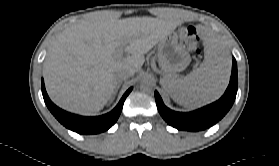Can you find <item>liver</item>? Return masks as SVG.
<instances>
[{
	"label": "liver",
	"instance_id": "6515ba94",
	"mask_svg": "<svg viewBox=\"0 0 279 166\" xmlns=\"http://www.w3.org/2000/svg\"><path fill=\"white\" fill-rule=\"evenodd\" d=\"M180 24L174 12L163 18L130 17L118 19L98 12L87 20L66 28L53 43L44 63L48 95L59 107L81 115H94L111 98L115 72L144 64V55ZM123 43L131 54L117 58Z\"/></svg>",
	"mask_w": 279,
	"mask_h": 166
}]
</instances>
